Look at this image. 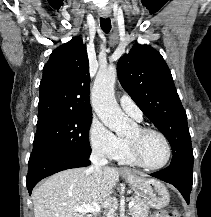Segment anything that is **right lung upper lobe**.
Wrapping results in <instances>:
<instances>
[{"instance_id":"cb5924a9","label":"right lung upper lobe","mask_w":211,"mask_h":217,"mask_svg":"<svg viewBox=\"0 0 211 217\" xmlns=\"http://www.w3.org/2000/svg\"><path fill=\"white\" fill-rule=\"evenodd\" d=\"M89 61L80 37L56 48L43 68L38 118L58 113L92 114Z\"/></svg>"}]
</instances>
